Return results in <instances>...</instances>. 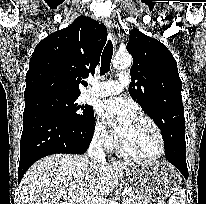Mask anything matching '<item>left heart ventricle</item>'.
<instances>
[{"label":"left heart ventricle","instance_id":"b2bd125f","mask_svg":"<svg viewBox=\"0 0 206 204\" xmlns=\"http://www.w3.org/2000/svg\"><path fill=\"white\" fill-rule=\"evenodd\" d=\"M121 139L129 151L138 155L151 156L159 150L158 137L153 128L145 120L135 116Z\"/></svg>","mask_w":206,"mask_h":204}]
</instances>
